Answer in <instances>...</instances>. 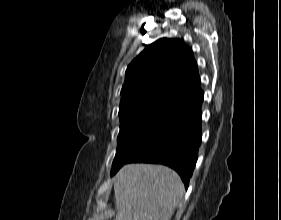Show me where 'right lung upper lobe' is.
<instances>
[{
	"label": "right lung upper lobe",
	"mask_w": 281,
	"mask_h": 220,
	"mask_svg": "<svg viewBox=\"0 0 281 220\" xmlns=\"http://www.w3.org/2000/svg\"><path fill=\"white\" fill-rule=\"evenodd\" d=\"M202 94L191 49L180 39L162 38L147 46L128 66L119 116L170 118Z\"/></svg>",
	"instance_id": "obj_1"
}]
</instances>
